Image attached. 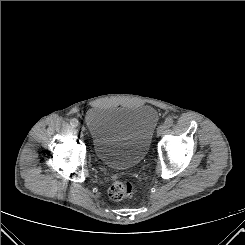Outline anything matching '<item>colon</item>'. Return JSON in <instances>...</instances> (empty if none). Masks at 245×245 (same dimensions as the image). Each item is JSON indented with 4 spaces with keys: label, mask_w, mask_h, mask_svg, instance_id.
Instances as JSON below:
<instances>
[{
    "label": "colon",
    "mask_w": 245,
    "mask_h": 245,
    "mask_svg": "<svg viewBox=\"0 0 245 245\" xmlns=\"http://www.w3.org/2000/svg\"><path fill=\"white\" fill-rule=\"evenodd\" d=\"M133 193L134 185L130 181H117L108 190L109 197L114 201L128 199L132 197Z\"/></svg>",
    "instance_id": "1"
}]
</instances>
